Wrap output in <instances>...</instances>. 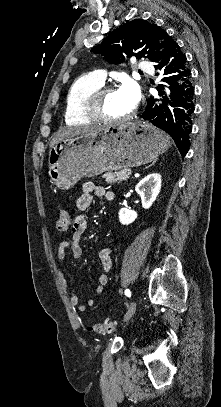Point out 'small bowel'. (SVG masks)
<instances>
[{
    "label": "small bowel",
    "mask_w": 221,
    "mask_h": 407,
    "mask_svg": "<svg viewBox=\"0 0 221 407\" xmlns=\"http://www.w3.org/2000/svg\"><path fill=\"white\" fill-rule=\"evenodd\" d=\"M105 197L107 200L112 201L114 199V194L110 191H107L106 188L102 185H95L90 182H86L81 186V195L76 201V211L77 214L73 220L72 227H71V236L69 238H65L61 241L57 257L59 261H64L67 258L68 253L74 258L77 259L82 254V249L78 245V241L83 236L86 228H87V219L85 215V211L90 206L93 197ZM99 261L101 263V270L97 275L98 284L95 288V293L97 295H101L104 292V288L108 283V274L111 269V248L109 246L104 247L99 252ZM61 279L63 284L66 286V279L64 275L61 273ZM70 303L71 305L79 310L80 312H84L87 307H91L94 305L95 301L93 298H90L86 304L81 302L79 296L76 292H71L70 294Z\"/></svg>",
    "instance_id": "obj_1"
}]
</instances>
